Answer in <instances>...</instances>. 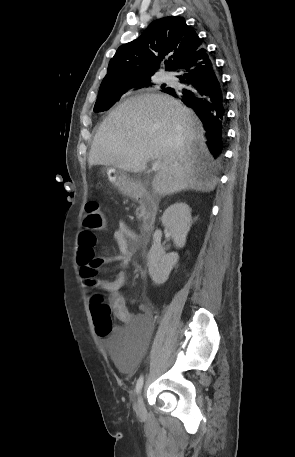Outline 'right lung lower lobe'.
I'll use <instances>...</instances> for the list:
<instances>
[{
    "label": "right lung lower lobe",
    "mask_w": 295,
    "mask_h": 457,
    "mask_svg": "<svg viewBox=\"0 0 295 457\" xmlns=\"http://www.w3.org/2000/svg\"><path fill=\"white\" fill-rule=\"evenodd\" d=\"M174 71L181 72L177 77L184 87H167L163 92L180 98L196 112L207 130L209 149L213 156H219L224 147L225 98L208 52L199 48L183 59Z\"/></svg>",
    "instance_id": "98d812e1"
}]
</instances>
